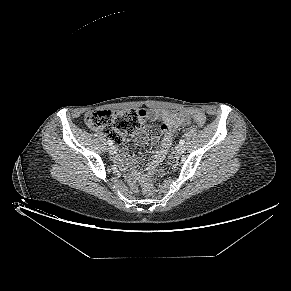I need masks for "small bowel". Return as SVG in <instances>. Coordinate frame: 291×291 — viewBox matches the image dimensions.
Instances as JSON below:
<instances>
[{
    "mask_svg": "<svg viewBox=\"0 0 291 291\" xmlns=\"http://www.w3.org/2000/svg\"><path fill=\"white\" fill-rule=\"evenodd\" d=\"M149 117L151 119L159 120L161 122L160 129L162 137L160 138L158 136H154L150 140V143L152 145H157L158 143H160V149L147 167L155 170L156 167L165 158L166 153L171 145L173 130L184 125L185 119L181 114L167 110H153L149 114ZM134 139L138 144H145L148 140V137L144 130H139L135 133ZM132 178L133 180H136L138 178L137 172L133 173Z\"/></svg>",
    "mask_w": 291,
    "mask_h": 291,
    "instance_id": "c3829d8e",
    "label": "small bowel"
}]
</instances>
